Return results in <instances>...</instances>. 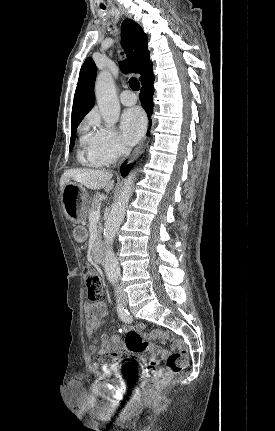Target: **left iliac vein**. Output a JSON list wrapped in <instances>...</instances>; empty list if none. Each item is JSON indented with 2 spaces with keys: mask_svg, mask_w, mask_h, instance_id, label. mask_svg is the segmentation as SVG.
Here are the masks:
<instances>
[{
  "mask_svg": "<svg viewBox=\"0 0 275 431\" xmlns=\"http://www.w3.org/2000/svg\"><path fill=\"white\" fill-rule=\"evenodd\" d=\"M121 299H122L123 304H126L128 302V297H127L126 293H122Z\"/></svg>",
  "mask_w": 275,
  "mask_h": 431,
  "instance_id": "4c4485c4",
  "label": "left iliac vein"
}]
</instances>
